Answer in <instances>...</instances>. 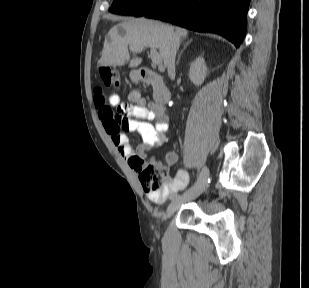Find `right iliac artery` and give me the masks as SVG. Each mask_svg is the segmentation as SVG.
<instances>
[{"mask_svg": "<svg viewBox=\"0 0 309 288\" xmlns=\"http://www.w3.org/2000/svg\"><path fill=\"white\" fill-rule=\"evenodd\" d=\"M198 172V171H197ZM197 182V181H196ZM179 197V194L174 192L171 196H170V199L171 200H174V199H177Z\"/></svg>", "mask_w": 309, "mask_h": 288, "instance_id": "1", "label": "right iliac artery"}]
</instances>
